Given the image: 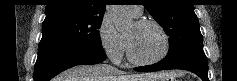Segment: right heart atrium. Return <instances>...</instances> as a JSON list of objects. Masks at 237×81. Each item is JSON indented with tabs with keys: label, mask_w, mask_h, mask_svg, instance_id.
<instances>
[{
	"label": "right heart atrium",
	"mask_w": 237,
	"mask_h": 81,
	"mask_svg": "<svg viewBox=\"0 0 237 81\" xmlns=\"http://www.w3.org/2000/svg\"><path fill=\"white\" fill-rule=\"evenodd\" d=\"M99 40L101 47L108 58L116 63L122 61L126 49L125 39L115 29L108 17H104L100 24Z\"/></svg>",
	"instance_id": "1"
}]
</instances>
